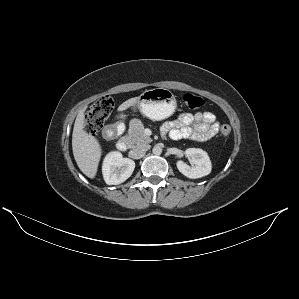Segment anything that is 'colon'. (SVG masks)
<instances>
[{
    "label": "colon",
    "instance_id": "1",
    "mask_svg": "<svg viewBox=\"0 0 299 299\" xmlns=\"http://www.w3.org/2000/svg\"><path fill=\"white\" fill-rule=\"evenodd\" d=\"M182 103L186 108L196 110L203 107L204 100L194 94L184 93L182 95ZM113 109L114 101L111 96L106 95L96 100L85 116V129L87 133L90 135L98 134ZM220 132L223 136H228L231 133V128L225 124L221 127Z\"/></svg>",
    "mask_w": 299,
    "mask_h": 299
}]
</instances>
